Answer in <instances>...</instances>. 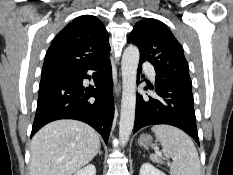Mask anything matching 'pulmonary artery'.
Wrapping results in <instances>:
<instances>
[{"mask_svg": "<svg viewBox=\"0 0 233 175\" xmlns=\"http://www.w3.org/2000/svg\"><path fill=\"white\" fill-rule=\"evenodd\" d=\"M144 67H145V69L147 71V74L150 77V79L155 80L156 79V73H155L154 69L148 63H144Z\"/></svg>", "mask_w": 233, "mask_h": 175, "instance_id": "e3ab8cb5", "label": "pulmonary artery"}]
</instances>
